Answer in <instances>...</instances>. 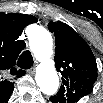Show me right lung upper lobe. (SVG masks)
I'll list each match as a JSON object with an SVG mask.
<instances>
[{"mask_svg":"<svg viewBox=\"0 0 103 103\" xmlns=\"http://www.w3.org/2000/svg\"><path fill=\"white\" fill-rule=\"evenodd\" d=\"M32 15L0 13V100L7 101L13 91L15 78L25 74L15 67L19 53L25 47L17 40L25 26L37 22Z\"/></svg>","mask_w":103,"mask_h":103,"instance_id":"obj_1","label":"right lung upper lobe"}]
</instances>
